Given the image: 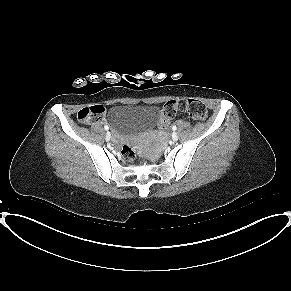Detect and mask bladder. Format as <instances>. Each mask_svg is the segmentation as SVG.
<instances>
[{"label":"bladder","instance_id":"bladder-1","mask_svg":"<svg viewBox=\"0 0 291 291\" xmlns=\"http://www.w3.org/2000/svg\"><path fill=\"white\" fill-rule=\"evenodd\" d=\"M159 118V109L152 105L113 104L107 121L113 133L123 137L133 136L154 126Z\"/></svg>","mask_w":291,"mask_h":291}]
</instances>
